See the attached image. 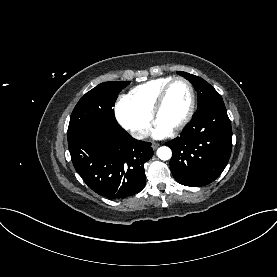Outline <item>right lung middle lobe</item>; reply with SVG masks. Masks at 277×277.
<instances>
[{
    "instance_id": "dd1d6c3e",
    "label": "right lung middle lobe",
    "mask_w": 277,
    "mask_h": 277,
    "mask_svg": "<svg viewBox=\"0 0 277 277\" xmlns=\"http://www.w3.org/2000/svg\"><path fill=\"white\" fill-rule=\"evenodd\" d=\"M129 83L130 81L104 82L87 92L71 114L67 132L68 143L96 126L120 127L113 106L119 92Z\"/></svg>"
}]
</instances>
